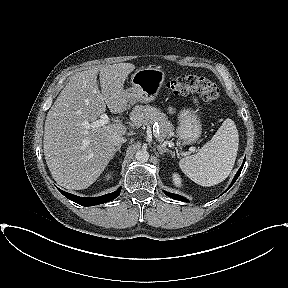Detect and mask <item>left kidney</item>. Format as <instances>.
Instances as JSON below:
<instances>
[{
  "label": "left kidney",
  "mask_w": 288,
  "mask_h": 288,
  "mask_svg": "<svg viewBox=\"0 0 288 288\" xmlns=\"http://www.w3.org/2000/svg\"><path fill=\"white\" fill-rule=\"evenodd\" d=\"M173 182L176 186H178V187L181 186V178H180L179 174H177V173L173 174Z\"/></svg>",
  "instance_id": "1"
}]
</instances>
